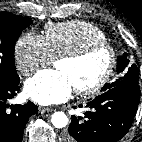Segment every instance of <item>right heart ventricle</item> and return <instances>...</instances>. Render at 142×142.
Masks as SVG:
<instances>
[{"mask_svg": "<svg viewBox=\"0 0 142 142\" xmlns=\"http://www.w3.org/2000/svg\"><path fill=\"white\" fill-rule=\"evenodd\" d=\"M44 40L54 59L89 44L106 42V37L97 26L85 21L73 20L47 24Z\"/></svg>", "mask_w": 142, "mask_h": 142, "instance_id": "obj_1", "label": "right heart ventricle"}]
</instances>
